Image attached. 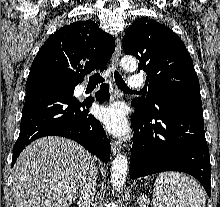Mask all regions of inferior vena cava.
<instances>
[{
  "label": "inferior vena cava",
  "instance_id": "1",
  "mask_svg": "<svg viewBox=\"0 0 220 207\" xmlns=\"http://www.w3.org/2000/svg\"><path fill=\"white\" fill-rule=\"evenodd\" d=\"M97 168L93 166L80 180L81 196L79 202L81 207H91L96 192Z\"/></svg>",
  "mask_w": 220,
  "mask_h": 207
}]
</instances>
